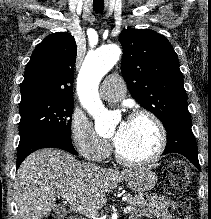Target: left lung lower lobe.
I'll use <instances>...</instances> for the list:
<instances>
[{"label": "left lung lower lobe", "mask_w": 211, "mask_h": 219, "mask_svg": "<svg viewBox=\"0 0 211 219\" xmlns=\"http://www.w3.org/2000/svg\"><path fill=\"white\" fill-rule=\"evenodd\" d=\"M191 124V117L177 118L168 124L165 128L167 131V145L163 155L168 153L184 155L200 170L197 143L191 130Z\"/></svg>", "instance_id": "left-lung-lower-lobe-1"}]
</instances>
